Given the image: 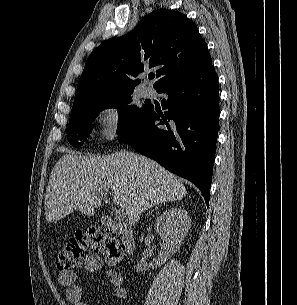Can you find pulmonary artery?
Returning <instances> with one entry per match:
<instances>
[{
    "instance_id": "e3ab8cb5",
    "label": "pulmonary artery",
    "mask_w": 297,
    "mask_h": 305,
    "mask_svg": "<svg viewBox=\"0 0 297 305\" xmlns=\"http://www.w3.org/2000/svg\"><path fill=\"white\" fill-rule=\"evenodd\" d=\"M142 94L144 97H151L153 95V89L149 86H146L143 88Z\"/></svg>"
}]
</instances>
